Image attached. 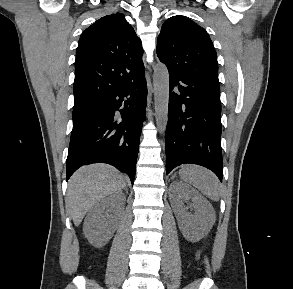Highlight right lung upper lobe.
I'll use <instances>...</instances> for the list:
<instances>
[{"instance_id":"1","label":"right lung upper lobe","mask_w":293,"mask_h":289,"mask_svg":"<svg viewBox=\"0 0 293 289\" xmlns=\"http://www.w3.org/2000/svg\"><path fill=\"white\" fill-rule=\"evenodd\" d=\"M140 39L121 13L104 16L80 36L74 106H86L144 75Z\"/></svg>"}]
</instances>
